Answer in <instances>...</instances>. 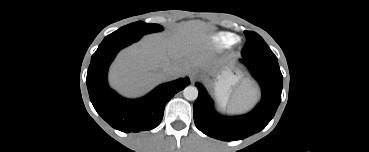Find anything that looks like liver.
Returning a JSON list of instances; mask_svg holds the SVG:
<instances>
[{"mask_svg": "<svg viewBox=\"0 0 369 152\" xmlns=\"http://www.w3.org/2000/svg\"><path fill=\"white\" fill-rule=\"evenodd\" d=\"M209 27L201 21L186 22L170 34H152L144 37L118 55L113 63L109 81L111 86L128 97L140 96L167 79L186 74L192 66L206 62L205 41ZM168 66L178 69L169 77ZM254 89L246 87L242 95Z\"/></svg>", "mask_w": 369, "mask_h": 152, "instance_id": "1", "label": "liver"}]
</instances>
